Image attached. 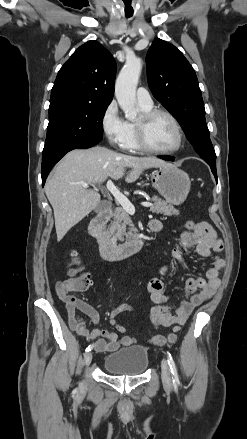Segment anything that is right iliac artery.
I'll return each mask as SVG.
<instances>
[{"label":"right iliac artery","mask_w":247,"mask_h":439,"mask_svg":"<svg viewBox=\"0 0 247 439\" xmlns=\"http://www.w3.org/2000/svg\"><path fill=\"white\" fill-rule=\"evenodd\" d=\"M92 348H93V345L90 344V345L86 348V351L89 352Z\"/></svg>","instance_id":"obj_1"}]
</instances>
